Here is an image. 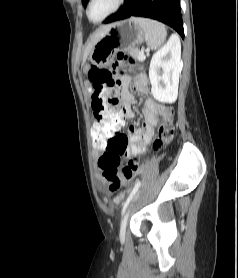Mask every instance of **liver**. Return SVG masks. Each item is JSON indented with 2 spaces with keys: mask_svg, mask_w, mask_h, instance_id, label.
Listing matches in <instances>:
<instances>
[{
  "mask_svg": "<svg viewBox=\"0 0 238 278\" xmlns=\"http://www.w3.org/2000/svg\"><path fill=\"white\" fill-rule=\"evenodd\" d=\"M111 25H106L101 27L100 29H98L90 38V41L88 42L85 51H84V55H83V64L85 63L88 55L90 54V51L92 49V47L105 35V33L107 32V30L109 29Z\"/></svg>",
  "mask_w": 238,
  "mask_h": 278,
  "instance_id": "liver-1",
  "label": "liver"
}]
</instances>
